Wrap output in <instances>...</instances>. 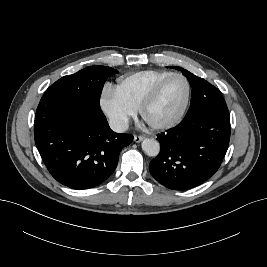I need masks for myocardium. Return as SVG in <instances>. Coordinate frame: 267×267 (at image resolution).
I'll list each match as a JSON object with an SVG mask.
<instances>
[{
    "label": "myocardium",
    "instance_id": "obj_1",
    "mask_svg": "<svg viewBox=\"0 0 267 267\" xmlns=\"http://www.w3.org/2000/svg\"><path fill=\"white\" fill-rule=\"evenodd\" d=\"M173 78H181L186 85V95H185V99L183 102V105L181 107V109L179 110V112L170 120L166 121V122H162V123H150L146 120V112L148 110V108L156 101V99L158 98L162 88L164 87V85L171 79ZM190 97H191V84L189 82V80L187 79L186 76H184L181 73H171L168 76L164 77L163 79H161L153 88L152 90L149 92V94L145 97V99L142 101V103L139 106V113L141 118L146 122V124L152 128L153 130H168L171 129L173 127H175L176 125H178L186 111L190 102Z\"/></svg>",
    "mask_w": 267,
    "mask_h": 267
}]
</instances>
